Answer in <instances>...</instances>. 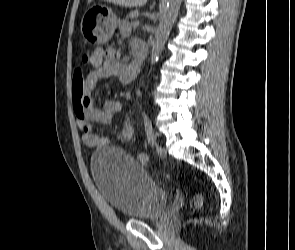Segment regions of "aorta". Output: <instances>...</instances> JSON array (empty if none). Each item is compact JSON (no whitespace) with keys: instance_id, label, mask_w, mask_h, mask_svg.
<instances>
[{"instance_id":"762f6f07","label":"aorta","mask_w":295,"mask_h":250,"mask_svg":"<svg viewBox=\"0 0 295 250\" xmlns=\"http://www.w3.org/2000/svg\"><path fill=\"white\" fill-rule=\"evenodd\" d=\"M182 0H168L155 32V39L151 50V64H155L164 48L172 25L178 15Z\"/></svg>"}]
</instances>
